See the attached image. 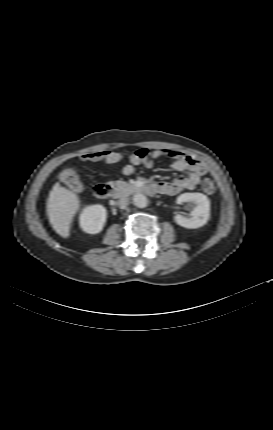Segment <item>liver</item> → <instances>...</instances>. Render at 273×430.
Listing matches in <instances>:
<instances>
[{
	"instance_id": "liver-1",
	"label": "liver",
	"mask_w": 273,
	"mask_h": 430,
	"mask_svg": "<svg viewBox=\"0 0 273 430\" xmlns=\"http://www.w3.org/2000/svg\"><path fill=\"white\" fill-rule=\"evenodd\" d=\"M81 207L79 196L58 182L49 193L47 213L53 229L63 238L70 236L74 216Z\"/></svg>"
}]
</instances>
